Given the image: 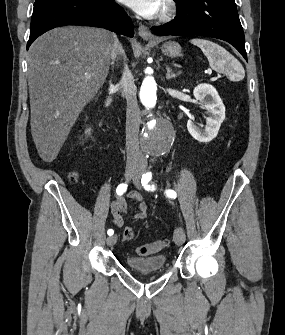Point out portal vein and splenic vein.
Here are the masks:
<instances>
[{"mask_svg":"<svg viewBox=\"0 0 285 335\" xmlns=\"http://www.w3.org/2000/svg\"><path fill=\"white\" fill-rule=\"evenodd\" d=\"M85 78H91V74H84Z\"/></svg>","mask_w":285,"mask_h":335,"instance_id":"1","label":"portal vein and splenic vein"}]
</instances>
